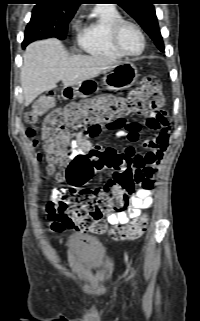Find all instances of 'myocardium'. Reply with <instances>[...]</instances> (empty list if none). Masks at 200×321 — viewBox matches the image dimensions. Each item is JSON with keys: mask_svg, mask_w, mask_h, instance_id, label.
Returning a JSON list of instances; mask_svg holds the SVG:
<instances>
[{"mask_svg": "<svg viewBox=\"0 0 200 321\" xmlns=\"http://www.w3.org/2000/svg\"><path fill=\"white\" fill-rule=\"evenodd\" d=\"M125 26H132L133 28H135L138 33L140 34L141 36V39H142V48L139 52L137 53H130L128 51H126L123 46L121 45V42H120V34H121V31L122 29L125 27ZM111 40H112V43L114 45V47L124 56H127V57H137V56H140L141 54H143V52L145 51L146 49V36H145V33L144 31L142 30V28L135 22L131 21V20H127V19H122L120 21H118L117 23H115V25L113 26L112 28V31H111Z\"/></svg>", "mask_w": 200, "mask_h": 321, "instance_id": "1", "label": "myocardium"}]
</instances>
